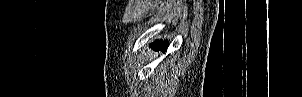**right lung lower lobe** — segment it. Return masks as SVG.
<instances>
[{
  "instance_id": "1",
  "label": "right lung lower lobe",
  "mask_w": 302,
  "mask_h": 97,
  "mask_svg": "<svg viewBox=\"0 0 302 97\" xmlns=\"http://www.w3.org/2000/svg\"><path fill=\"white\" fill-rule=\"evenodd\" d=\"M166 47H167L166 42H162V41L161 42L158 41L157 43L152 45L153 49L162 50V51H166Z\"/></svg>"
}]
</instances>
